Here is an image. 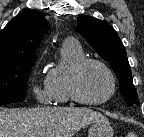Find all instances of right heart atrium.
<instances>
[{
    "mask_svg": "<svg viewBox=\"0 0 144 137\" xmlns=\"http://www.w3.org/2000/svg\"><path fill=\"white\" fill-rule=\"evenodd\" d=\"M32 91H33L35 98L37 99L39 103L50 104L53 102V96L47 84L46 77L43 80L42 84L33 82Z\"/></svg>",
    "mask_w": 144,
    "mask_h": 137,
    "instance_id": "1",
    "label": "right heart atrium"
}]
</instances>
